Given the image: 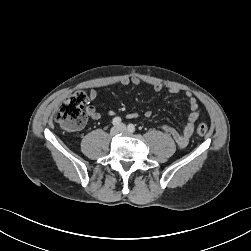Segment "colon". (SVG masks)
I'll return each instance as SVG.
<instances>
[{"mask_svg": "<svg viewBox=\"0 0 251 251\" xmlns=\"http://www.w3.org/2000/svg\"><path fill=\"white\" fill-rule=\"evenodd\" d=\"M88 101V96L83 91H76L69 95L59 107L56 113V121L69 130H79L86 123L84 106ZM197 133L205 136L208 127L204 123H199Z\"/></svg>", "mask_w": 251, "mask_h": 251, "instance_id": "colon-1", "label": "colon"}]
</instances>
